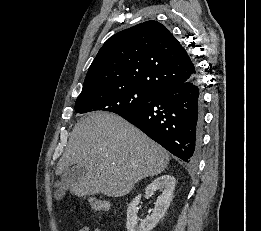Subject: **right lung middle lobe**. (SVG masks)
<instances>
[{
    "instance_id": "dd1d6c3e",
    "label": "right lung middle lobe",
    "mask_w": 261,
    "mask_h": 231,
    "mask_svg": "<svg viewBox=\"0 0 261 231\" xmlns=\"http://www.w3.org/2000/svg\"><path fill=\"white\" fill-rule=\"evenodd\" d=\"M156 94L138 87H122L79 95L75 111H110L118 115L136 110L152 100Z\"/></svg>"
}]
</instances>
